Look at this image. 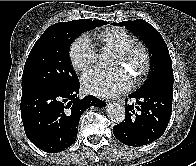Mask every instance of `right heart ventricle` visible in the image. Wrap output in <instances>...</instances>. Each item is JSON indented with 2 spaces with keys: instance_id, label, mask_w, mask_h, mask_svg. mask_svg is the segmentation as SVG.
<instances>
[{
  "instance_id": "obj_1",
  "label": "right heart ventricle",
  "mask_w": 196,
  "mask_h": 166,
  "mask_svg": "<svg viewBox=\"0 0 196 166\" xmlns=\"http://www.w3.org/2000/svg\"><path fill=\"white\" fill-rule=\"evenodd\" d=\"M97 39L104 47L111 48L116 52L126 49L134 41L132 35L126 30L112 28L102 31L97 35Z\"/></svg>"
}]
</instances>
